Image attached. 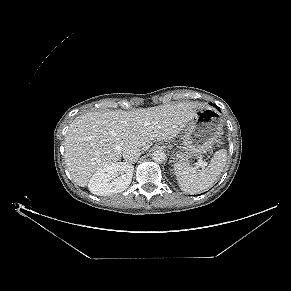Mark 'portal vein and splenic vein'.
I'll use <instances>...</instances> for the list:
<instances>
[{
  "mask_svg": "<svg viewBox=\"0 0 291 291\" xmlns=\"http://www.w3.org/2000/svg\"><path fill=\"white\" fill-rule=\"evenodd\" d=\"M206 165V162H204L202 159H198V167L205 168Z\"/></svg>",
  "mask_w": 291,
  "mask_h": 291,
  "instance_id": "1",
  "label": "portal vein and splenic vein"
}]
</instances>
